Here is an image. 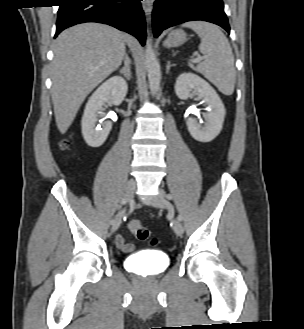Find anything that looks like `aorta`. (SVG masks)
Wrapping results in <instances>:
<instances>
[{"label":"aorta","mask_w":304,"mask_h":329,"mask_svg":"<svg viewBox=\"0 0 304 329\" xmlns=\"http://www.w3.org/2000/svg\"><path fill=\"white\" fill-rule=\"evenodd\" d=\"M145 62L150 90L156 93L159 90L161 74L159 62L156 58L150 37L146 40Z\"/></svg>","instance_id":"1"}]
</instances>
